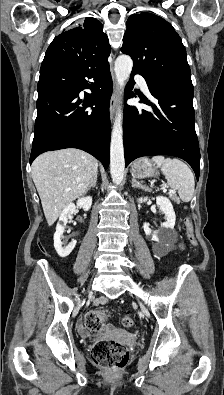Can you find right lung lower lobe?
Masks as SVG:
<instances>
[{"instance_id":"right-lung-lower-lobe-1","label":"right lung lower lobe","mask_w":224,"mask_h":395,"mask_svg":"<svg viewBox=\"0 0 224 395\" xmlns=\"http://www.w3.org/2000/svg\"><path fill=\"white\" fill-rule=\"evenodd\" d=\"M92 94L79 93L89 88ZM109 64L83 71L54 61L42 62L38 82L37 118L30 164L46 151L78 148L109 165L110 118L112 93ZM95 106V107H93Z\"/></svg>"}]
</instances>
